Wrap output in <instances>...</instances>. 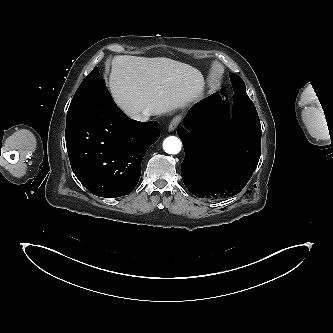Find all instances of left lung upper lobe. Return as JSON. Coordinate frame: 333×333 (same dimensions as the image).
<instances>
[{
    "label": "left lung upper lobe",
    "mask_w": 333,
    "mask_h": 333,
    "mask_svg": "<svg viewBox=\"0 0 333 333\" xmlns=\"http://www.w3.org/2000/svg\"><path fill=\"white\" fill-rule=\"evenodd\" d=\"M230 80L234 89V100L243 102L253 108H255L253 102L246 94V87L243 80L236 74L230 73Z\"/></svg>",
    "instance_id": "5c2ea615"
}]
</instances>
